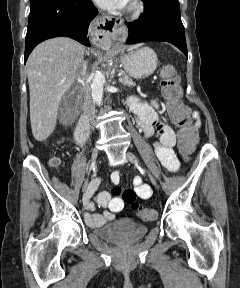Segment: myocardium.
<instances>
[{
    "label": "myocardium",
    "instance_id": "1",
    "mask_svg": "<svg viewBox=\"0 0 240 288\" xmlns=\"http://www.w3.org/2000/svg\"><path fill=\"white\" fill-rule=\"evenodd\" d=\"M144 12V5L141 2H134L130 8L131 18L139 19Z\"/></svg>",
    "mask_w": 240,
    "mask_h": 288
}]
</instances>
